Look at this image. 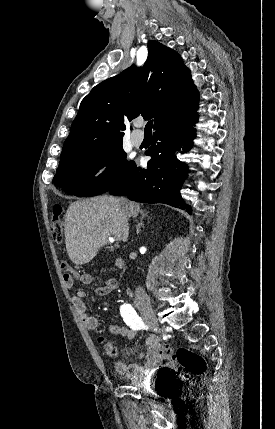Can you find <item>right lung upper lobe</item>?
Wrapping results in <instances>:
<instances>
[{
    "mask_svg": "<svg viewBox=\"0 0 275 429\" xmlns=\"http://www.w3.org/2000/svg\"><path fill=\"white\" fill-rule=\"evenodd\" d=\"M190 70L174 50L148 43L142 67L132 65L96 85L81 101L60 162L101 149L123 138L124 120L139 115L154 118V130L196 114V95ZM198 94V93H197Z\"/></svg>",
    "mask_w": 275,
    "mask_h": 429,
    "instance_id": "obj_1",
    "label": "right lung upper lobe"
}]
</instances>
